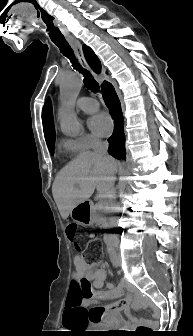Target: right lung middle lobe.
<instances>
[{
	"instance_id": "obj_1",
	"label": "right lung middle lobe",
	"mask_w": 193,
	"mask_h": 336,
	"mask_svg": "<svg viewBox=\"0 0 193 336\" xmlns=\"http://www.w3.org/2000/svg\"><path fill=\"white\" fill-rule=\"evenodd\" d=\"M47 146H48V149H49L50 153L52 154L53 153V147H54V139L48 141Z\"/></svg>"
}]
</instances>
